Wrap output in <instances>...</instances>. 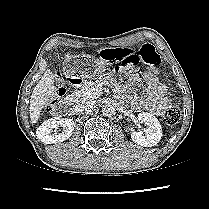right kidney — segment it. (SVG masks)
Segmentation results:
<instances>
[{"mask_svg":"<svg viewBox=\"0 0 209 209\" xmlns=\"http://www.w3.org/2000/svg\"><path fill=\"white\" fill-rule=\"evenodd\" d=\"M59 126L63 127V131L59 134H51L53 129H57ZM75 123L72 119H60L59 117H53L44 121L36 131L37 138L45 144L61 143L73 133Z\"/></svg>","mask_w":209,"mask_h":209,"instance_id":"ca27d5eb","label":"right kidney"}]
</instances>
